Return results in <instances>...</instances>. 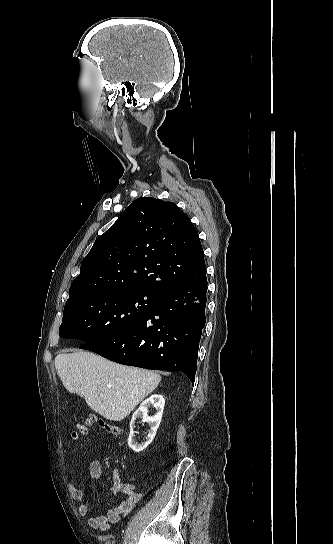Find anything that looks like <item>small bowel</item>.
Returning a JSON list of instances; mask_svg holds the SVG:
<instances>
[{
    "instance_id": "1",
    "label": "small bowel",
    "mask_w": 333,
    "mask_h": 544,
    "mask_svg": "<svg viewBox=\"0 0 333 544\" xmlns=\"http://www.w3.org/2000/svg\"><path fill=\"white\" fill-rule=\"evenodd\" d=\"M102 463L98 459L91 461L89 465V473L92 478L99 479L102 475ZM86 486L77 487L74 483L68 484V490L72 498L78 502V513L81 516L88 514L89 508L84 501V492ZM111 492L113 494L122 493L125 499L118 502L117 505L108 509L106 513H98L91 516L88 519V524L97 530L106 531L110 529L112 524L118 523L122 517H125L131 513L135 505L139 502L142 495L135 491L134 486L128 483H123L120 474L117 470L112 473V487Z\"/></svg>"
}]
</instances>
